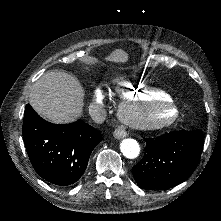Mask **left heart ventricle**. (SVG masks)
<instances>
[{"label":"left heart ventricle","instance_id":"obj_1","mask_svg":"<svg viewBox=\"0 0 221 221\" xmlns=\"http://www.w3.org/2000/svg\"><path fill=\"white\" fill-rule=\"evenodd\" d=\"M148 117L152 121H173L177 117V109L173 105H166L162 112L157 111L156 108H149Z\"/></svg>","mask_w":221,"mask_h":221}]
</instances>
